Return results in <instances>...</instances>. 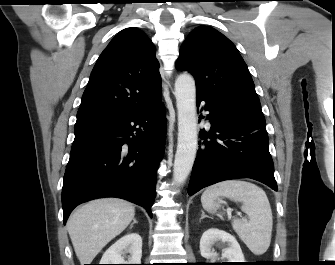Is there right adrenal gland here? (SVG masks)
<instances>
[{"instance_id":"1","label":"right adrenal gland","mask_w":335,"mask_h":265,"mask_svg":"<svg viewBox=\"0 0 335 265\" xmlns=\"http://www.w3.org/2000/svg\"><path fill=\"white\" fill-rule=\"evenodd\" d=\"M138 222L136 221V219L133 220V223L130 225V228L133 227L134 224H137Z\"/></svg>"}]
</instances>
